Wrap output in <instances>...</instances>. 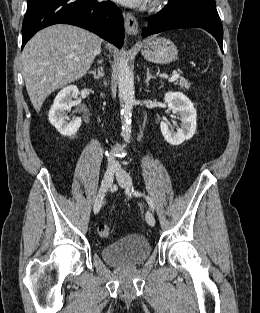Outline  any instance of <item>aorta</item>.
<instances>
[{
	"label": "aorta",
	"instance_id": "obj_1",
	"mask_svg": "<svg viewBox=\"0 0 260 313\" xmlns=\"http://www.w3.org/2000/svg\"><path fill=\"white\" fill-rule=\"evenodd\" d=\"M118 90L121 106L122 136L126 142L131 135V117L135 103L134 79L125 53H122L118 67Z\"/></svg>",
	"mask_w": 260,
	"mask_h": 313
}]
</instances>
